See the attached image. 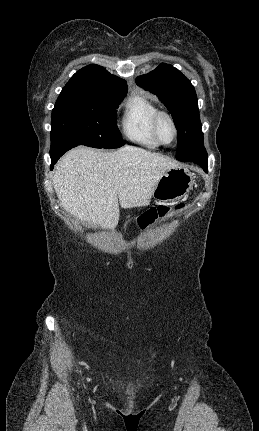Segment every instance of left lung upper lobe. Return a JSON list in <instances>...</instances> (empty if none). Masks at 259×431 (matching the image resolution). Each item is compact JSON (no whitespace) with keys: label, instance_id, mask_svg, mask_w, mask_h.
<instances>
[{"label":"left lung upper lobe","instance_id":"1","mask_svg":"<svg viewBox=\"0 0 259 431\" xmlns=\"http://www.w3.org/2000/svg\"><path fill=\"white\" fill-rule=\"evenodd\" d=\"M136 83L157 95L172 114L178 131L176 159L194 162L207 157L191 82L172 65L161 63L152 72L137 77Z\"/></svg>","mask_w":259,"mask_h":431}]
</instances>
